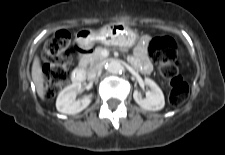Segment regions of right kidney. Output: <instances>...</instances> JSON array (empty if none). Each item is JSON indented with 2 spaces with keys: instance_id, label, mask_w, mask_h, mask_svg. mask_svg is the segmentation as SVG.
<instances>
[{
  "instance_id": "right-kidney-1",
  "label": "right kidney",
  "mask_w": 225,
  "mask_h": 155,
  "mask_svg": "<svg viewBox=\"0 0 225 155\" xmlns=\"http://www.w3.org/2000/svg\"><path fill=\"white\" fill-rule=\"evenodd\" d=\"M81 89V83L76 82L65 87L58 95L56 108L64 114H77L84 110L91 102L90 97L75 100L77 92Z\"/></svg>"
}]
</instances>
